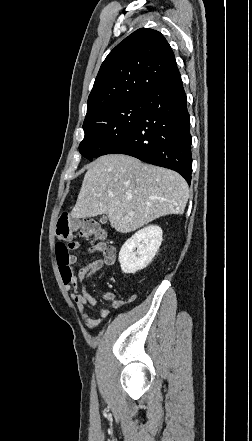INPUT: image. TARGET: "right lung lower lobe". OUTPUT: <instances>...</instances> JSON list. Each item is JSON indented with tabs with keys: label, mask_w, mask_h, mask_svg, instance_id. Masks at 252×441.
<instances>
[{
	"label": "right lung lower lobe",
	"mask_w": 252,
	"mask_h": 441,
	"mask_svg": "<svg viewBox=\"0 0 252 441\" xmlns=\"http://www.w3.org/2000/svg\"><path fill=\"white\" fill-rule=\"evenodd\" d=\"M141 100L144 110L137 124L104 155L126 154L175 170L190 184V116L179 71L145 94Z\"/></svg>",
	"instance_id": "98d812e1"
}]
</instances>
